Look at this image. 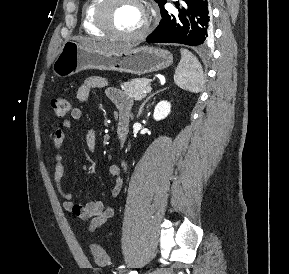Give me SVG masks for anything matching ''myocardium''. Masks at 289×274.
<instances>
[{"mask_svg":"<svg viewBox=\"0 0 289 274\" xmlns=\"http://www.w3.org/2000/svg\"><path fill=\"white\" fill-rule=\"evenodd\" d=\"M120 2H132L144 9V5L141 0H101L95 10V23L97 27L107 36L120 41H137L144 38L150 29V20L147 15L143 28L134 34H122L117 32L112 27L110 22V14L113 7Z\"/></svg>","mask_w":289,"mask_h":274,"instance_id":"obj_1","label":"myocardium"}]
</instances>
